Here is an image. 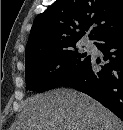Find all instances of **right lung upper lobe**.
Wrapping results in <instances>:
<instances>
[{
	"label": "right lung upper lobe",
	"instance_id": "obj_1",
	"mask_svg": "<svg viewBox=\"0 0 123 130\" xmlns=\"http://www.w3.org/2000/svg\"><path fill=\"white\" fill-rule=\"evenodd\" d=\"M123 26V0H57L31 28L25 60L75 46L85 31L90 39Z\"/></svg>",
	"mask_w": 123,
	"mask_h": 130
}]
</instances>
